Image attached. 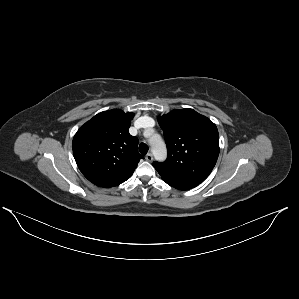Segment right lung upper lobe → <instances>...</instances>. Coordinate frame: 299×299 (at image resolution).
Wrapping results in <instances>:
<instances>
[{
	"label": "right lung upper lobe",
	"mask_w": 299,
	"mask_h": 299,
	"mask_svg": "<svg viewBox=\"0 0 299 299\" xmlns=\"http://www.w3.org/2000/svg\"><path fill=\"white\" fill-rule=\"evenodd\" d=\"M133 117L118 109L101 112L75 134V161L93 184L108 188L125 182L144 158L138 153V139L128 131Z\"/></svg>",
	"instance_id": "1"
}]
</instances>
